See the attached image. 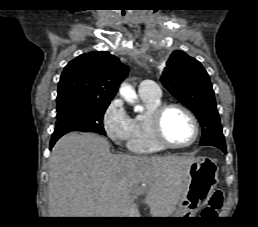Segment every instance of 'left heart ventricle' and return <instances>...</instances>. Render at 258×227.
I'll use <instances>...</instances> for the list:
<instances>
[{
  "label": "left heart ventricle",
  "instance_id": "obj_1",
  "mask_svg": "<svg viewBox=\"0 0 258 227\" xmlns=\"http://www.w3.org/2000/svg\"><path fill=\"white\" fill-rule=\"evenodd\" d=\"M163 131L174 143L183 144L194 135V127L190 118L179 109H170L163 120Z\"/></svg>",
  "mask_w": 258,
  "mask_h": 227
}]
</instances>
